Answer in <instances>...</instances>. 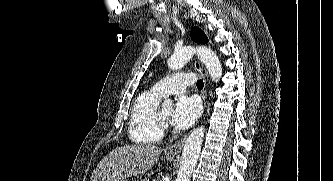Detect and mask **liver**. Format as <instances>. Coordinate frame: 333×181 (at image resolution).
<instances>
[{"instance_id":"6515ba94","label":"liver","mask_w":333,"mask_h":181,"mask_svg":"<svg viewBox=\"0 0 333 181\" xmlns=\"http://www.w3.org/2000/svg\"><path fill=\"white\" fill-rule=\"evenodd\" d=\"M163 149L152 145L117 147L96 166L90 181H123L151 169Z\"/></svg>"}]
</instances>
